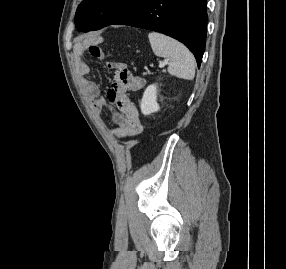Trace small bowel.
Here are the masks:
<instances>
[{
  "label": "small bowel",
  "instance_id": "c3829d8e",
  "mask_svg": "<svg viewBox=\"0 0 286 269\" xmlns=\"http://www.w3.org/2000/svg\"><path fill=\"white\" fill-rule=\"evenodd\" d=\"M85 44L79 43L74 52V62L76 66V72L82 80V86L86 93L88 103L91 107L93 114L99 117L104 106L107 105L106 100L102 98L99 86L92 80L86 78L90 72V67L85 61L84 50ZM90 54L99 59L105 60L106 56L100 47H95L93 44L88 47ZM106 66L109 69L114 70L116 62H107ZM134 78H142L135 76ZM145 83H141V88ZM107 99L109 102L115 103V109L111 108L112 120L117 125L115 129L111 131V135L117 138L126 136H135L142 132L143 126L140 120L138 110H125L127 100H130L124 95L119 93L114 85H111L107 92Z\"/></svg>",
  "mask_w": 286,
  "mask_h": 269
}]
</instances>
